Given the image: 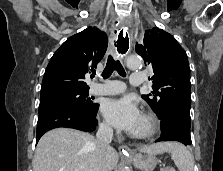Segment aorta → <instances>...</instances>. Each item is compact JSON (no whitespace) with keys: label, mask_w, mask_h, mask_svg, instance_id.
Listing matches in <instances>:
<instances>
[{"label":"aorta","mask_w":223,"mask_h":171,"mask_svg":"<svg viewBox=\"0 0 223 171\" xmlns=\"http://www.w3.org/2000/svg\"><path fill=\"white\" fill-rule=\"evenodd\" d=\"M127 67L130 69H138L142 65V59L139 56H130L126 61ZM120 171H128L127 168H123Z\"/></svg>","instance_id":"aorta-1"}]
</instances>
